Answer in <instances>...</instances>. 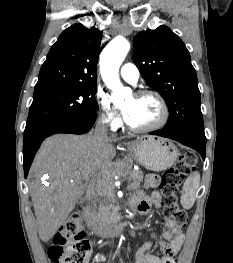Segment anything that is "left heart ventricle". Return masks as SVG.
Returning a JSON list of instances; mask_svg holds the SVG:
<instances>
[{
	"label": "left heart ventricle",
	"mask_w": 233,
	"mask_h": 263,
	"mask_svg": "<svg viewBox=\"0 0 233 263\" xmlns=\"http://www.w3.org/2000/svg\"><path fill=\"white\" fill-rule=\"evenodd\" d=\"M124 111H130L129 124L137 127L149 126L161 117V108L153 97H131L123 106Z\"/></svg>",
	"instance_id": "obj_1"
}]
</instances>
